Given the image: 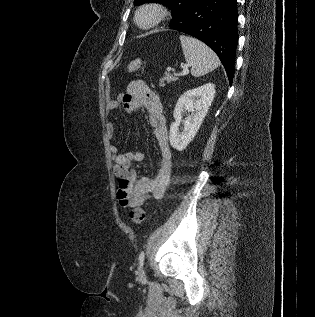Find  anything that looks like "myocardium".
Wrapping results in <instances>:
<instances>
[{
    "instance_id": "obj_1",
    "label": "myocardium",
    "mask_w": 315,
    "mask_h": 317,
    "mask_svg": "<svg viewBox=\"0 0 315 317\" xmlns=\"http://www.w3.org/2000/svg\"><path fill=\"white\" fill-rule=\"evenodd\" d=\"M168 8L160 2L142 4L135 12V24L141 29H151L160 24L167 16Z\"/></svg>"
}]
</instances>
